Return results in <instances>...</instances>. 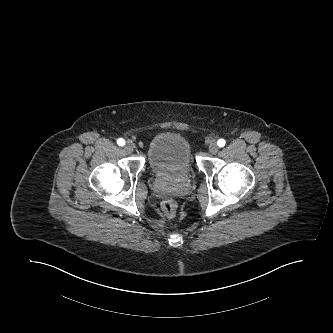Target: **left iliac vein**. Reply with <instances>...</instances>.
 Returning <instances> with one entry per match:
<instances>
[{
	"mask_svg": "<svg viewBox=\"0 0 333 333\" xmlns=\"http://www.w3.org/2000/svg\"><path fill=\"white\" fill-rule=\"evenodd\" d=\"M208 149L211 154H216L218 151L217 143L215 141H211Z\"/></svg>",
	"mask_w": 333,
	"mask_h": 333,
	"instance_id": "left-iliac-vein-1",
	"label": "left iliac vein"
}]
</instances>
